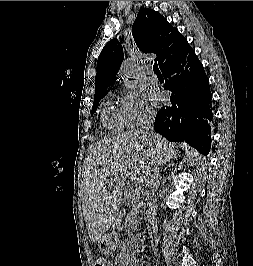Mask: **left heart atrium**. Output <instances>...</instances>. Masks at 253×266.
I'll return each mask as SVG.
<instances>
[{
  "mask_svg": "<svg viewBox=\"0 0 253 266\" xmlns=\"http://www.w3.org/2000/svg\"><path fill=\"white\" fill-rule=\"evenodd\" d=\"M150 98L155 105H158L164 99L163 95L157 90H152L150 92Z\"/></svg>",
  "mask_w": 253,
  "mask_h": 266,
  "instance_id": "left-heart-atrium-1",
  "label": "left heart atrium"
}]
</instances>
